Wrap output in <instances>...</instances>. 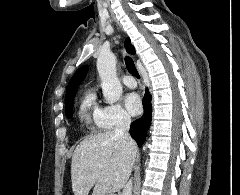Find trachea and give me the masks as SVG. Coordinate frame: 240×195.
Listing matches in <instances>:
<instances>
[{
	"label": "trachea",
	"instance_id": "trachea-1",
	"mask_svg": "<svg viewBox=\"0 0 240 195\" xmlns=\"http://www.w3.org/2000/svg\"><path fill=\"white\" fill-rule=\"evenodd\" d=\"M125 64L128 72H130L134 77L140 78L139 73L137 72L136 66L134 64V61L130 57H125Z\"/></svg>",
	"mask_w": 240,
	"mask_h": 195
}]
</instances>
